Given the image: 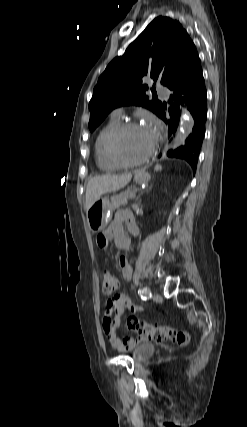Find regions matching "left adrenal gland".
I'll use <instances>...</instances> for the list:
<instances>
[{"instance_id":"a2214340","label":"left adrenal gland","mask_w":247,"mask_h":427,"mask_svg":"<svg viewBox=\"0 0 247 427\" xmlns=\"http://www.w3.org/2000/svg\"><path fill=\"white\" fill-rule=\"evenodd\" d=\"M143 194V192H141V194H139V196L136 198V203H139L140 202V198H141V195Z\"/></svg>"}]
</instances>
